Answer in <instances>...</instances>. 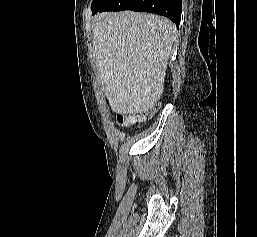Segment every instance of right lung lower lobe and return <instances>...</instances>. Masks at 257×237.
I'll list each match as a JSON object with an SVG mask.
<instances>
[{
	"label": "right lung lower lobe",
	"mask_w": 257,
	"mask_h": 237,
	"mask_svg": "<svg viewBox=\"0 0 257 237\" xmlns=\"http://www.w3.org/2000/svg\"><path fill=\"white\" fill-rule=\"evenodd\" d=\"M133 10L165 16L179 27L182 0H110L101 8H92L93 14L105 11Z\"/></svg>",
	"instance_id": "98d812e1"
}]
</instances>
